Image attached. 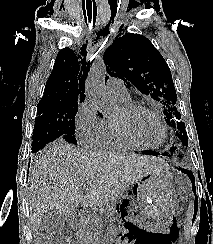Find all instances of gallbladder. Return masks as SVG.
Segmentation results:
<instances>
[{
	"label": "gallbladder",
	"mask_w": 213,
	"mask_h": 244,
	"mask_svg": "<svg viewBox=\"0 0 213 244\" xmlns=\"http://www.w3.org/2000/svg\"><path fill=\"white\" fill-rule=\"evenodd\" d=\"M65 216L49 211L42 216V220L38 229L40 235L60 234L64 229Z\"/></svg>",
	"instance_id": "gallbladder-1"
}]
</instances>
